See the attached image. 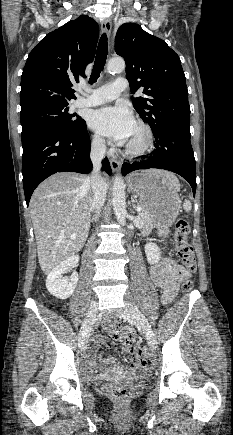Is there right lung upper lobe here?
Wrapping results in <instances>:
<instances>
[{"label":"right lung upper lobe","instance_id":"right-lung-upper-lobe-1","mask_svg":"<svg viewBox=\"0 0 233 435\" xmlns=\"http://www.w3.org/2000/svg\"><path fill=\"white\" fill-rule=\"evenodd\" d=\"M98 24L81 15L47 34L29 53L21 77V115L68 105L72 88L95 56Z\"/></svg>","mask_w":233,"mask_h":435}]
</instances>
